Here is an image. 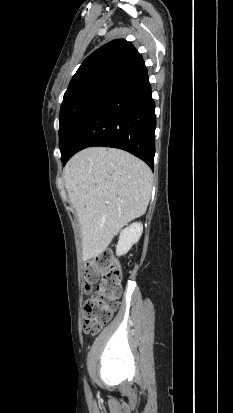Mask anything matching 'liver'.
Wrapping results in <instances>:
<instances>
[{
    "instance_id": "6515ba94",
    "label": "liver",
    "mask_w": 233,
    "mask_h": 413,
    "mask_svg": "<svg viewBox=\"0 0 233 413\" xmlns=\"http://www.w3.org/2000/svg\"><path fill=\"white\" fill-rule=\"evenodd\" d=\"M63 177L80 222L84 261L102 254L114 236L142 216L149 204L150 168L120 149H84L69 160Z\"/></svg>"
}]
</instances>
